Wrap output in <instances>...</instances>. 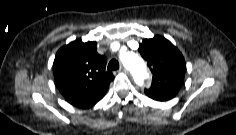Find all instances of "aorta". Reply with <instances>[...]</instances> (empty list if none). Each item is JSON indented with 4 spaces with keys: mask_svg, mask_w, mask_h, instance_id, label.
<instances>
[{
    "mask_svg": "<svg viewBox=\"0 0 236 135\" xmlns=\"http://www.w3.org/2000/svg\"><path fill=\"white\" fill-rule=\"evenodd\" d=\"M123 65L132 73L137 85L142 86L148 77L144 61L135 53L127 52L121 55Z\"/></svg>",
    "mask_w": 236,
    "mask_h": 135,
    "instance_id": "762f6f07",
    "label": "aorta"
}]
</instances>
